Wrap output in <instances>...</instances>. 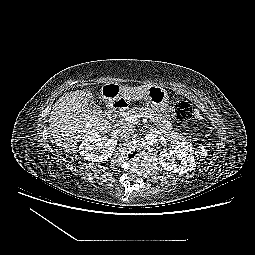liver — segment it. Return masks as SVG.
Returning <instances> with one entry per match:
<instances>
[{"mask_svg":"<svg viewBox=\"0 0 255 255\" xmlns=\"http://www.w3.org/2000/svg\"><path fill=\"white\" fill-rule=\"evenodd\" d=\"M150 85L121 87L124 100L138 101ZM91 89L70 91L53 105L49 118V132L57 146L68 153H75L77 144L90 136L108 133L111 123L89 105L94 103Z\"/></svg>","mask_w":255,"mask_h":255,"instance_id":"obj_1","label":"liver"}]
</instances>
